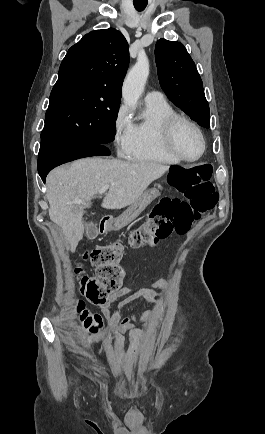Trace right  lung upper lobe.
Returning a JSON list of instances; mask_svg holds the SVG:
<instances>
[{"label":"right lung upper lobe","mask_w":265,"mask_h":434,"mask_svg":"<svg viewBox=\"0 0 265 434\" xmlns=\"http://www.w3.org/2000/svg\"><path fill=\"white\" fill-rule=\"evenodd\" d=\"M128 65V43L123 35L113 28L95 30L68 50L57 82L90 81L121 94Z\"/></svg>","instance_id":"obj_1"}]
</instances>
